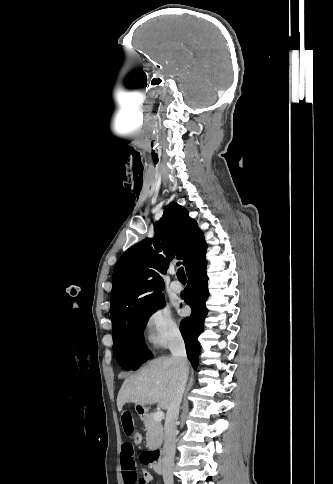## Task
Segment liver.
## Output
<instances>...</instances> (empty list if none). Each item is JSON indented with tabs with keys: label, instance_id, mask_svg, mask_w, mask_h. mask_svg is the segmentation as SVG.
<instances>
[{
	"label": "liver",
	"instance_id": "liver-1",
	"mask_svg": "<svg viewBox=\"0 0 333 484\" xmlns=\"http://www.w3.org/2000/svg\"><path fill=\"white\" fill-rule=\"evenodd\" d=\"M180 376L178 362L170 357H158L149 361L123 382L117 396L118 411L126 403L140 406L157 404L159 408L168 410Z\"/></svg>",
	"mask_w": 333,
	"mask_h": 484
}]
</instances>
